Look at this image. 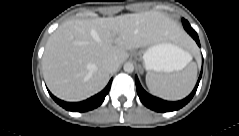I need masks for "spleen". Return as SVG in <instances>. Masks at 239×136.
I'll return each mask as SVG.
<instances>
[{
  "label": "spleen",
  "mask_w": 239,
  "mask_h": 136,
  "mask_svg": "<svg viewBox=\"0 0 239 136\" xmlns=\"http://www.w3.org/2000/svg\"><path fill=\"white\" fill-rule=\"evenodd\" d=\"M184 67L192 60L190 54ZM183 67V68H184ZM197 79V67L193 63L180 72L162 74L148 72L146 84L150 92L166 100H179L186 97L193 89Z\"/></svg>",
  "instance_id": "3e777b00"
}]
</instances>
